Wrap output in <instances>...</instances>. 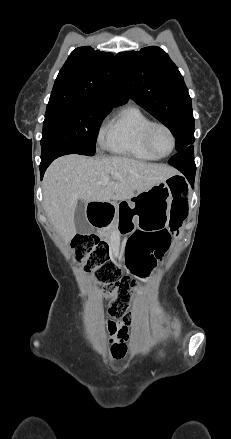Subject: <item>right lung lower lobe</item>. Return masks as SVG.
I'll list each match as a JSON object with an SVG mask.
<instances>
[{"label": "right lung lower lobe", "instance_id": "98d812e1", "mask_svg": "<svg viewBox=\"0 0 231 439\" xmlns=\"http://www.w3.org/2000/svg\"><path fill=\"white\" fill-rule=\"evenodd\" d=\"M63 153H67V152H63ZM57 157H52L46 160H41V164H40V175H41V179L43 178L44 172L47 169V167L50 165V163Z\"/></svg>", "mask_w": 231, "mask_h": 439}]
</instances>
